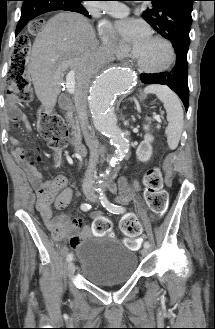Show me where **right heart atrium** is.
Here are the masks:
<instances>
[{"label": "right heart atrium", "mask_w": 215, "mask_h": 329, "mask_svg": "<svg viewBox=\"0 0 215 329\" xmlns=\"http://www.w3.org/2000/svg\"><path fill=\"white\" fill-rule=\"evenodd\" d=\"M99 34L105 44L115 49L117 55H123V51L121 50L120 45L114 35V32L108 23L100 24Z\"/></svg>", "instance_id": "obj_1"}]
</instances>
